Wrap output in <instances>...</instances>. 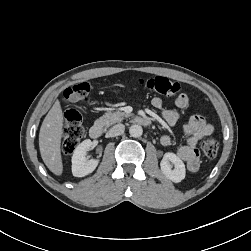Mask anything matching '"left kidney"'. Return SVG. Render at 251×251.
I'll list each match as a JSON object with an SVG mask.
<instances>
[{
    "label": "left kidney",
    "instance_id": "left-kidney-1",
    "mask_svg": "<svg viewBox=\"0 0 251 251\" xmlns=\"http://www.w3.org/2000/svg\"><path fill=\"white\" fill-rule=\"evenodd\" d=\"M170 162L174 165V169L171 168ZM160 168L165 177L175 183H179L185 178V165L174 153L168 152L164 154Z\"/></svg>",
    "mask_w": 251,
    "mask_h": 251
}]
</instances>
